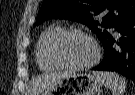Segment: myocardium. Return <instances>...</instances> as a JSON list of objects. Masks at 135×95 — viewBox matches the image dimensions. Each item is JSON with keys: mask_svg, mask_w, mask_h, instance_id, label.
Masks as SVG:
<instances>
[{"mask_svg": "<svg viewBox=\"0 0 135 95\" xmlns=\"http://www.w3.org/2000/svg\"><path fill=\"white\" fill-rule=\"evenodd\" d=\"M70 36H81V37L88 39L91 42L93 49H94V56L89 62H87L85 64H81V65H72V64H68V63L64 62L59 57V54H58L59 45L61 44V42L64 39H66L67 37H70ZM48 53H49L50 59L60 68L79 71V70H84V69L90 68L98 61L99 56H100V49H99V46H98L97 42L95 41V39L88 33L84 32L82 30H78V29H69V30H62L59 34H57L52 39V41L50 42L49 47H48Z\"/></svg>", "mask_w": 135, "mask_h": 95, "instance_id": "obj_1", "label": "myocardium"}]
</instances>
